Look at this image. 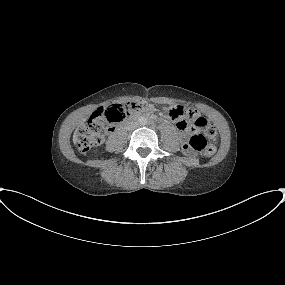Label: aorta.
<instances>
[{
    "label": "aorta",
    "mask_w": 285,
    "mask_h": 285,
    "mask_svg": "<svg viewBox=\"0 0 285 285\" xmlns=\"http://www.w3.org/2000/svg\"><path fill=\"white\" fill-rule=\"evenodd\" d=\"M146 118H144V117H141L140 119H139V122L141 123V124H146Z\"/></svg>",
    "instance_id": "obj_1"
}]
</instances>
